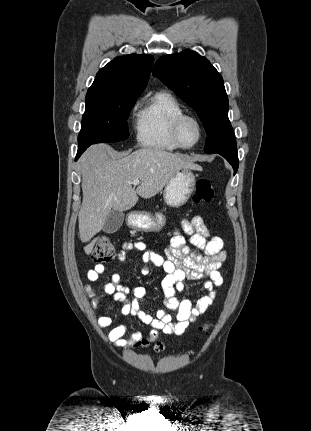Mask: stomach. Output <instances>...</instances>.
Masks as SVG:
<instances>
[{
    "instance_id": "0dacf381",
    "label": "stomach",
    "mask_w": 311,
    "mask_h": 431,
    "mask_svg": "<svg viewBox=\"0 0 311 431\" xmlns=\"http://www.w3.org/2000/svg\"><path fill=\"white\" fill-rule=\"evenodd\" d=\"M196 186V178L188 168L176 172L169 184L164 188L163 200L169 208H180L190 200ZM130 229L136 231H160L166 223V216L157 212L151 216L149 212H130L126 216Z\"/></svg>"
}]
</instances>
